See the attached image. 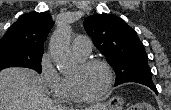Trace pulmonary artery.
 Segmentation results:
<instances>
[{"mask_svg": "<svg viewBox=\"0 0 171 110\" xmlns=\"http://www.w3.org/2000/svg\"><path fill=\"white\" fill-rule=\"evenodd\" d=\"M92 49V42L88 37L77 36L72 42V50L79 58L86 57Z\"/></svg>", "mask_w": 171, "mask_h": 110, "instance_id": "obj_1", "label": "pulmonary artery"}]
</instances>
